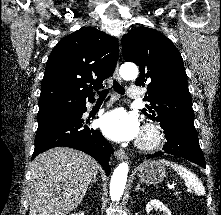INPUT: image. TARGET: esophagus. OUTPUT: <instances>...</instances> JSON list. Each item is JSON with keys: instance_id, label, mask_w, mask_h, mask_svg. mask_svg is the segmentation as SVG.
Returning <instances> with one entry per match:
<instances>
[{"instance_id": "obj_1", "label": "esophagus", "mask_w": 221, "mask_h": 215, "mask_svg": "<svg viewBox=\"0 0 221 215\" xmlns=\"http://www.w3.org/2000/svg\"><path fill=\"white\" fill-rule=\"evenodd\" d=\"M115 77L118 81L122 82V78L119 74V64L116 65V68H115ZM115 156L118 160L120 161H123V160H127L128 159V156L127 154L125 153V151L123 149H118L116 152H115Z\"/></svg>"}]
</instances>
